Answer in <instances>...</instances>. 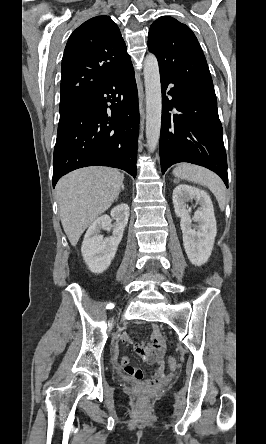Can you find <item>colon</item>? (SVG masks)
<instances>
[{
    "mask_svg": "<svg viewBox=\"0 0 266 444\" xmlns=\"http://www.w3.org/2000/svg\"><path fill=\"white\" fill-rule=\"evenodd\" d=\"M167 362H168V367H169L171 370L176 369V367H177V363H176L175 358H173V357H169ZM141 402H142V403H145V402H146V399H145L144 397H142V398H141Z\"/></svg>",
    "mask_w": 266,
    "mask_h": 444,
    "instance_id": "colon-1",
    "label": "colon"
}]
</instances>
